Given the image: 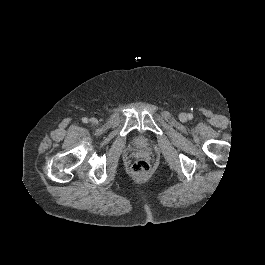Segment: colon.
<instances>
[{"instance_id":"obj_1","label":"colon","mask_w":265,"mask_h":265,"mask_svg":"<svg viewBox=\"0 0 265 265\" xmlns=\"http://www.w3.org/2000/svg\"><path fill=\"white\" fill-rule=\"evenodd\" d=\"M131 170L134 175L142 176L149 172L150 165L146 160L140 159L133 163Z\"/></svg>"}]
</instances>
